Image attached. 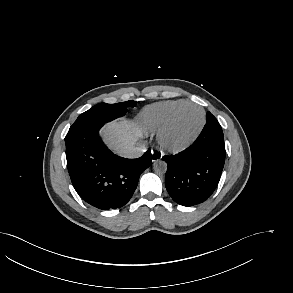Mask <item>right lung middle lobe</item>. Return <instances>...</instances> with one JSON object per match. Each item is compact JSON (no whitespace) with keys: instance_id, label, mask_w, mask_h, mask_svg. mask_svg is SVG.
I'll use <instances>...</instances> for the list:
<instances>
[{"instance_id":"right-lung-middle-lobe-1","label":"right lung middle lobe","mask_w":293,"mask_h":293,"mask_svg":"<svg viewBox=\"0 0 293 293\" xmlns=\"http://www.w3.org/2000/svg\"><path fill=\"white\" fill-rule=\"evenodd\" d=\"M135 105V101L129 100L116 104L100 103L93 106L88 111L79 115L77 120L70 127L65 137V142L83 131L100 128L105 123L124 116L127 112V107H134Z\"/></svg>"}]
</instances>
